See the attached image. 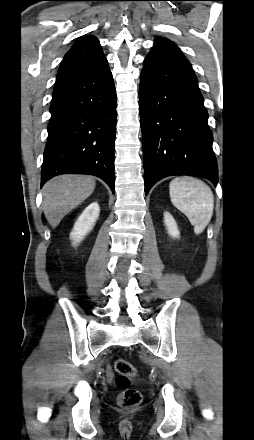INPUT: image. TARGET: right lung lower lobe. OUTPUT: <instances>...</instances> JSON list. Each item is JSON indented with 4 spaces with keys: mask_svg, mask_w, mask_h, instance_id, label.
<instances>
[{
    "mask_svg": "<svg viewBox=\"0 0 254 440\" xmlns=\"http://www.w3.org/2000/svg\"><path fill=\"white\" fill-rule=\"evenodd\" d=\"M116 93L107 61L58 79L50 105L41 187L60 174H89L114 188Z\"/></svg>",
    "mask_w": 254,
    "mask_h": 440,
    "instance_id": "right-lung-lower-lobe-1",
    "label": "right lung lower lobe"
}]
</instances>
